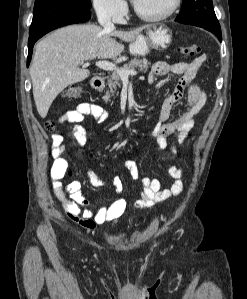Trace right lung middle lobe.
I'll list each match as a JSON object with an SVG mask.
<instances>
[{
	"label": "right lung middle lobe",
	"instance_id": "dd1d6c3e",
	"mask_svg": "<svg viewBox=\"0 0 247 299\" xmlns=\"http://www.w3.org/2000/svg\"><path fill=\"white\" fill-rule=\"evenodd\" d=\"M90 0H35L33 20L29 32L72 11L89 10Z\"/></svg>",
	"mask_w": 247,
	"mask_h": 299
}]
</instances>
